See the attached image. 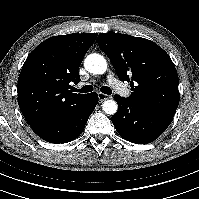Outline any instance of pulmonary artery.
<instances>
[{
    "mask_svg": "<svg viewBox=\"0 0 199 199\" xmlns=\"http://www.w3.org/2000/svg\"><path fill=\"white\" fill-rule=\"evenodd\" d=\"M108 82L111 84L113 89L123 97H129L130 91L118 80L115 79L112 73L108 74L107 76Z\"/></svg>",
    "mask_w": 199,
    "mask_h": 199,
    "instance_id": "pulmonary-artery-1",
    "label": "pulmonary artery"
}]
</instances>
